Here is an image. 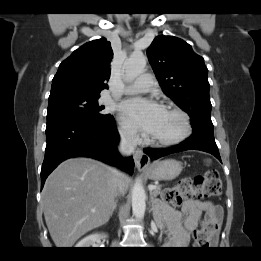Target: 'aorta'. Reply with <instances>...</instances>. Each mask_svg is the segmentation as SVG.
Masks as SVG:
<instances>
[{
	"label": "aorta",
	"instance_id": "1",
	"mask_svg": "<svg viewBox=\"0 0 261 261\" xmlns=\"http://www.w3.org/2000/svg\"><path fill=\"white\" fill-rule=\"evenodd\" d=\"M146 66V57L143 54H132L124 63L125 79L133 81L142 74ZM132 212L133 215L142 219L146 209V194L140 179H136L132 188Z\"/></svg>",
	"mask_w": 261,
	"mask_h": 261
}]
</instances>
